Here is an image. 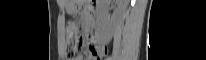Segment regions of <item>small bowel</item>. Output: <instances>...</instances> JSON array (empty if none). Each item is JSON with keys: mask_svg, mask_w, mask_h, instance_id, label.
I'll return each mask as SVG.
<instances>
[{"mask_svg": "<svg viewBox=\"0 0 206 60\" xmlns=\"http://www.w3.org/2000/svg\"><path fill=\"white\" fill-rule=\"evenodd\" d=\"M100 48L97 44V40L91 37L88 42V53L90 59H96L99 54ZM75 60H83L81 56L77 57Z\"/></svg>", "mask_w": 206, "mask_h": 60, "instance_id": "1", "label": "small bowel"}]
</instances>
